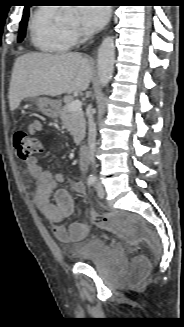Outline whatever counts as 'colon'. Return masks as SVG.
Returning a JSON list of instances; mask_svg holds the SVG:
<instances>
[{"label":"colon","mask_w":184,"mask_h":327,"mask_svg":"<svg viewBox=\"0 0 184 327\" xmlns=\"http://www.w3.org/2000/svg\"><path fill=\"white\" fill-rule=\"evenodd\" d=\"M13 147L17 157L22 162H29L42 151V145L38 138L30 136L24 131H17L13 136ZM93 223L101 228L114 229L122 234L140 236L150 240L149 234L138 222H131L126 218H114L108 215L92 214ZM149 262L145 258H138L132 270L134 279H142L149 272Z\"/></svg>","instance_id":"obj_1"}]
</instances>
